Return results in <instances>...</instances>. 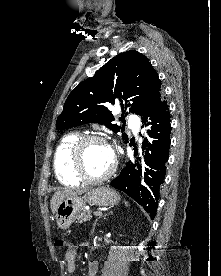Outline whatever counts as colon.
Instances as JSON below:
<instances>
[{"label": "colon", "instance_id": "5ec220e1", "mask_svg": "<svg viewBox=\"0 0 221 276\" xmlns=\"http://www.w3.org/2000/svg\"><path fill=\"white\" fill-rule=\"evenodd\" d=\"M55 246L59 247V248H70L71 245L69 243V241L66 238H58L55 242Z\"/></svg>", "mask_w": 221, "mask_h": 276}]
</instances>
